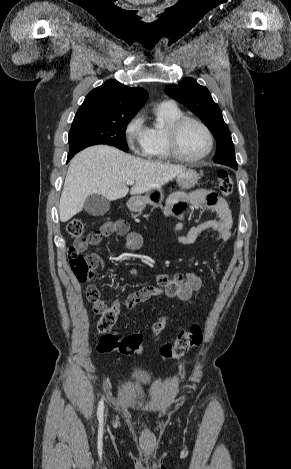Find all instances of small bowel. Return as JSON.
<instances>
[{"label": "small bowel", "mask_w": 291, "mask_h": 469, "mask_svg": "<svg viewBox=\"0 0 291 469\" xmlns=\"http://www.w3.org/2000/svg\"><path fill=\"white\" fill-rule=\"evenodd\" d=\"M187 203L192 205L194 208L205 207L216 213L218 218L205 220L191 227L186 234L181 235L179 234L183 228L181 220L183 219ZM164 213L167 216H171L179 220L173 230L176 234L177 242L181 245L193 244L199 235L206 231L215 232L217 234V238L222 241H227L231 237L233 223L231 211L227 202L220 198L213 190L200 189L188 194L183 192L173 193L168 198ZM100 229L102 231V237H106L111 234H117L123 237L125 247L129 250H137L143 244L141 233L135 230L131 231L127 222L124 220L106 222ZM98 242L99 241L92 244H97ZM88 258L92 261L95 267L98 264H100L102 268L107 267L103 253H90ZM156 281L158 285L157 287L146 286L128 295L125 300L126 309L132 310L138 304L160 294H164L170 298H177L180 301H189L193 293L200 290L202 286L201 276L196 272L178 273L172 278L167 274L162 273L157 275ZM97 293L98 299L92 303L94 312L99 314L101 310L109 307L98 290Z\"/></svg>", "instance_id": "c3829d8e"}]
</instances>
